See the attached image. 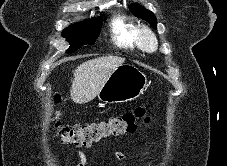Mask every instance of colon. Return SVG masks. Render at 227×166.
I'll list each match as a JSON object with an SVG mask.
<instances>
[{
    "label": "colon",
    "mask_w": 227,
    "mask_h": 166,
    "mask_svg": "<svg viewBox=\"0 0 227 166\" xmlns=\"http://www.w3.org/2000/svg\"><path fill=\"white\" fill-rule=\"evenodd\" d=\"M55 110L52 117V128L64 144L77 147H89L104 139L118 137L135 132L141 123L148 122V111L145 106H138L132 111L109 117L106 121L86 125H63L60 121L59 106L61 97L54 96Z\"/></svg>",
    "instance_id": "1"
}]
</instances>
